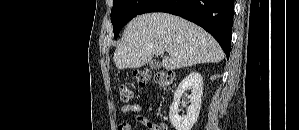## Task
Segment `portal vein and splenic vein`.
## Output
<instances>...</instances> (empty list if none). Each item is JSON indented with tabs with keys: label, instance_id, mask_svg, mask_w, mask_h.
<instances>
[{
	"label": "portal vein and splenic vein",
	"instance_id": "portal-vein-and-splenic-vein-1",
	"mask_svg": "<svg viewBox=\"0 0 299 130\" xmlns=\"http://www.w3.org/2000/svg\"><path fill=\"white\" fill-rule=\"evenodd\" d=\"M157 52H158L159 55H163L164 54V50L163 49H159Z\"/></svg>",
	"mask_w": 299,
	"mask_h": 130
}]
</instances>
